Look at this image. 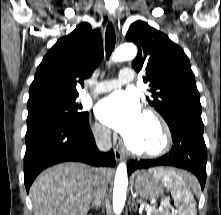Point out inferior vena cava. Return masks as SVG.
<instances>
[{
	"label": "inferior vena cava",
	"instance_id": "602c4592",
	"mask_svg": "<svg viewBox=\"0 0 221 215\" xmlns=\"http://www.w3.org/2000/svg\"><path fill=\"white\" fill-rule=\"evenodd\" d=\"M96 144L101 151H109L111 149V132L108 129H101L96 135ZM106 184L102 178L97 177L95 191L93 194V204H101V200L105 196Z\"/></svg>",
	"mask_w": 221,
	"mask_h": 215
}]
</instances>
